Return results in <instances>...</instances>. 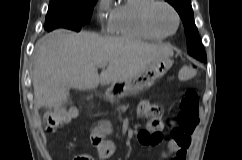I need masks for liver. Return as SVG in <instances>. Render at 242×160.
<instances>
[{
  "label": "liver",
  "instance_id": "liver-1",
  "mask_svg": "<svg viewBox=\"0 0 242 160\" xmlns=\"http://www.w3.org/2000/svg\"><path fill=\"white\" fill-rule=\"evenodd\" d=\"M170 45L148 44L90 32L55 30L35 45L33 87L36 107H56L68 101L69 89H94L132 79L153 62L169 59ZM107 69L98 74V66Z\"/></svg>",
  "mask_w": 242,
  "mask_h": 160
}]
</instances>
